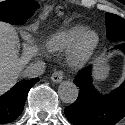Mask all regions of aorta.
Instances as JSON below:
<instances>
[{
	"instance_id": "762f6f07",
	"label": "aorta",
	"mask_w": 125,
	"mask_h": 125,
	"mask_svg": "<svg viewBox=\"0 0 125 125\" xmlns=\"http://www.w3.org/2000/svg\"><path fill=\"white\" fill-rule=\"evenodd\" d=\"M78 92V87L70 81H64L58 87L60 99L67 104H72L76 101Z\"/></svg>"
}]
</instances>
